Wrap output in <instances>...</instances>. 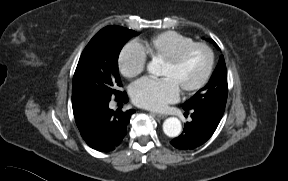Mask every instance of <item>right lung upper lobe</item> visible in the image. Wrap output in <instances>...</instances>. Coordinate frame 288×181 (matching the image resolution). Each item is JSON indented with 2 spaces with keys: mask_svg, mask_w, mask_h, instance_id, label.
<instances>
[{
  "mask_svg": "<svg viewBox=\"0 0 288 181\" xmlns=\"http://www.w3.org/2000/svg\"><path fill=\"white\" fill-rule=\"evenodd\" d=\"M73 113L80 133H84L89 127L97 106H84L72 100Z\"/></svg>",
  "mask_w": 288,
  "mask_h": 181,
  "instance_id": "1",
  "label": "right lung upper lobe"
}]
</instances>
